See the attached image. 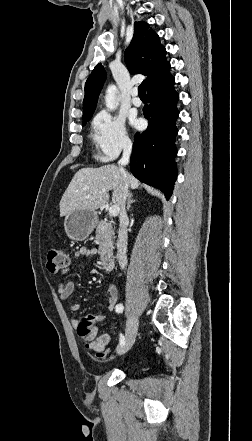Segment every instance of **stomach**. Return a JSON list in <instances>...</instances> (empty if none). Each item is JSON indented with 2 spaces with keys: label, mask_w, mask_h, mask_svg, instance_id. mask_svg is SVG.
Here are the masks:
<instances>
[{
  "label": "stomach",
  "mask_w": 252,
  "mask_h": 441,
  "mask_svg": "<svg viewBox=\"0 0 252 441\" xmlns=\"http://www.w3.org/2000/svg\"><path fill=\"white\" fill-rule=\"evenodd\" d=\"M98 222L97 213L89 210H75L65 216L64 227L69 238L85 240Z\"/></svg>",
  "instance_id": "stomach-1"
}]
</instances>
